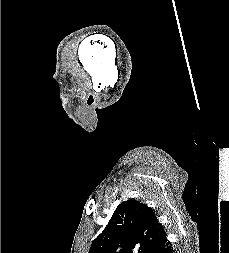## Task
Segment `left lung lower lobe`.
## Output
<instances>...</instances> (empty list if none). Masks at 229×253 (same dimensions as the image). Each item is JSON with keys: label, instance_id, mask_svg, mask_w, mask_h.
I'll use <instances>...</instances> for the list:
<instances>
[{"label": "left lung lower lobe", "instance_id": "1", "mask_svg": "<svg viewBox=\"0 0 229 253\" xmlns=\"http://www.w3.org/2000/svg\"><path fill=\"white\" fill-rule=\"evenodd\" d=\"M173 248L171 243L168 241L167 237H165L156 248L154 253H173Z\"/></svg>", "mask_w": 229, "mask_h": 253}]
</instances>
